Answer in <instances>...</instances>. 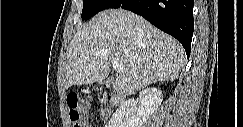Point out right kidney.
<instances>
[{
  "label": "right kidney",
  "instance_id": "obj_1",
  "mask_svg": "<svg viewBox=\"0 0 243 127\" xmlns=\"http://www.w3.org/2000/svg\"><path fill=\"white\" fill-rule=\"evenodd\" d=\"M163 95L157 88H146L139 93V106L137 101L129 99L112 115L108 127H142L144 123L158 110Z\"/></svg>",
  "mask_w": 243,
  "mask_h": 127
}]
</instances>
